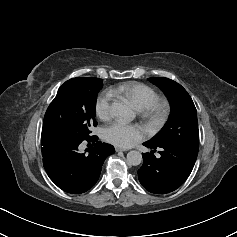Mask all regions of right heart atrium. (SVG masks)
I'll return each mask as SVG.
<instances>
[{
	"instance_id": "d8ad5b80",
	"label": "right heart atrium",
	"mask_w": 237,
	"mask_h": 237,
	"mask_svg": "<svg viewBox=\"0 0 237 237\" xmlns=\"http://www.w3.org/2000/svg\"><path fill=\"white\" fill-rule=\"evenodd\" d=\"M113 93L110 90L102 92L96 99L95 111L102 120H107L112 115Z\"/></svg>"
}]
</instances>
